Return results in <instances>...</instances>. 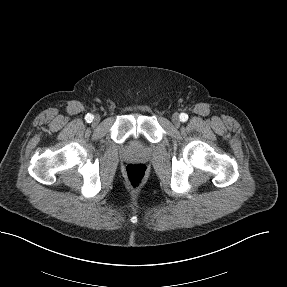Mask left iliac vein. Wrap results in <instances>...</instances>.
I'll list each match as a JSON object with an SVG mask.
<instances>
[{
    "mask_svg": "<svg viewBox=\"0 0 287 287\" xmlns=\"http://www.w3.org/2000/svg\"><path fill=\"white\" fill-rule=\"evenodd\" d=\"M172 122L173 124L176 126V127H179L180 126V117L177 113H174L172 115Z\"/></svg>",
    "mask_w": 287,
    "mask_h": 287,
    "instance_id": "obj_1",
    "label": "left iliac vein"
}]
</instances>
